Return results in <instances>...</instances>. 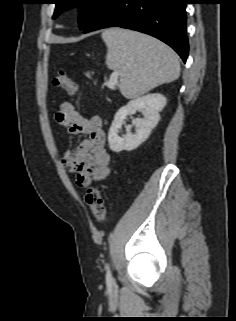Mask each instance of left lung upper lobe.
Returning <instances> with one entry per match:
<instances>
[{"label":"left lung upper lobe","instance_id":"1","mask_svg":"<svg viewBox=\"0 0 236 321\" xmlns=\"http://www.w3.org/2000/svg\"><path fill=\"white\" fill-rule=\"evenodd\" d=\"M110 0H55L53 18L60 15L68 6L78 5L81 12L80 29H84Z\"/></svg>","mask_w":236,"mask_h":321}]
</instances>
